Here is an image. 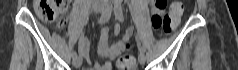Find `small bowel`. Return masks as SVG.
Here are the masks:
<instances>
[{"instance_id":"small-bowel-1","label":"small bowel","mask_w":238,"mask_h":70,"mask_svg":"<svg viewBox=\"0 0 238 70\" xmlns=\"http://www.w3.org/2000/svg\"><path fill=\"white\" fill-rule=\"evenodd\" d=\"M153 4V1H152ZM164 12L163 9L155 8L154 5L152 7V14H162ZM65 24L64 20H61L58 24L60 28H62ZM120 32L119 25H115L113 28V33L118 35ZM132 29H127L125 33H132ZM110 37V29L108 27H103L100 31L99 41H98V54L101 58H105L106 61L103 63L96 62L94 67L87 70H111L110 60L115 59L118 54L128 46V44H123L122 40L115 42L113 44H109ZM79 52L80 54L88 60L89 58V41L87 38L82 37L79 41Z\"/></svg>"}]
</instances>
